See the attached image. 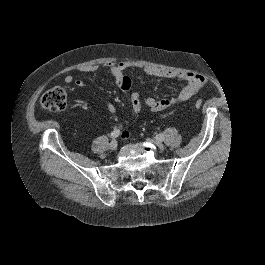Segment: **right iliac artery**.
<instances>
[{"label":"right iliac artery","instance_id":"1","mask_svg":"<svg viewBox=\"0 0 265 265\" xmlns=\"http://www.w3.org/2000/svg\"><path fill=\"white\" fill-rule=\"evenodd\" d=\"M120 130L119 129H114L112 132H111V134H110V137L112 138V139H115V138H117L119 135H120Z\"/></svg>","mask_w":265,"mask_h":265}]
</instances>
